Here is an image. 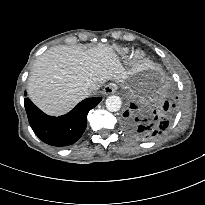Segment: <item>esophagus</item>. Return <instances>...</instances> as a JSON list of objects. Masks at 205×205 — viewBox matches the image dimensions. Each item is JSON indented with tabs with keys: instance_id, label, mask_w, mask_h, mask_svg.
Returning a JSON list of instances; mask_svg holds the SVG:
<instances>
[{
	"instance_id": "obj_1",
	"label": "esophagus",
	"mask_w": 205,
	"mask_h": 205,
	"mask_svg": "<svg viewBox=\"0 0 205 205\" xmlns=\"http://www.w3.org/2000/svg\"><path fill=\"white\" fill-rule=\"evenodd\" d=\"M116 91V86L114 84H108L104 87V93L106 95L113 94Z\"/></svg>"
}]
</instances>
